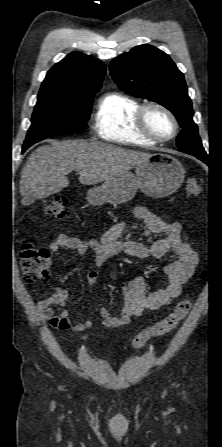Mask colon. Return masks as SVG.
<instances>
[{
  "label": "colon",
  "mask_w": 222,
  "mask_h": 447,
  "mask_svg": "<svg viewBox=\"0 0 222 447\" xmlns=\"http://www.w3.org/2000/svg\"><path fill=\"white\" fill-rule=\"evenodd\" d=\"M200 193L199 184L195 179L186 183L185 194L196 197ZM44 212L55 218H64L67 215V198L58 196L44 205ZM20 267L24 281L35 284L45 281L49 276L50 252L39 248L30 242H22L19 248ZM192 303L188 299L179 301L174 309L163 319L148 326L139 332L132 341L135 349L142 348L151 338L161 336L173 330L189 313Z\"/></svg>",
  "instance_id": "colon-1"
}]
</instances>
